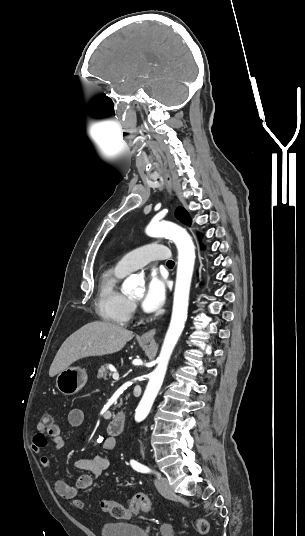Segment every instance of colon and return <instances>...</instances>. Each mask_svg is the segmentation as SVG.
<instances>
[{"label":"colon","mask_w":305,"mask_h":536,"mask_svg":"<svg viewBox=\"0 0 305 536\" xmlns=\"http://www.w3.org/2000/svg\"><path fill=\"white\" fill-rule=\"evenodd\" d=\"M42 422L45 425H52L54 418L52 413H45L42 417ZM72 503L77 507L78 511L84 513L87 511V504L79 501L77 498L72 500ZM101 510L114 517L117 520L126 519L139 512L150 513L152 511V505L147 496L142 492H136L130 501L128 506H125L112 499H103L100 503ZM193 522L196 526L198 533L205 535L208 531L207 521L199 516L193 518Z\"/></svg>","instance_id":"obj_1"}]
</instances>
